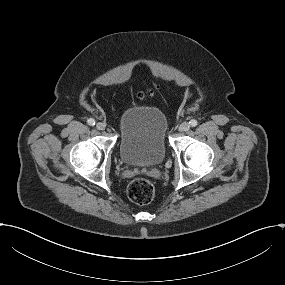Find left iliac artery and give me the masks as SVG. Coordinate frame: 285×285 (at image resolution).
<instances>
[{
  "mask_svg": "<svg viewBox=\"0 0 285 285\" xmlns=\"http://www.w3.org/2000/svg\"><path fill=\"white\" fill-rule=\"evenodd\" d=\"M189 124H190V126L195 127V126L198 124V122H197V120L192 119V120L189 122Z\"/></svg>",
  "mask_w": 285,
  "mask_h": 285,
  "instance_id": "1",
  "label": "left iliac artery"
}]
</instances>
